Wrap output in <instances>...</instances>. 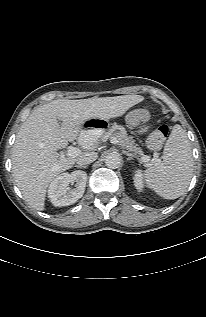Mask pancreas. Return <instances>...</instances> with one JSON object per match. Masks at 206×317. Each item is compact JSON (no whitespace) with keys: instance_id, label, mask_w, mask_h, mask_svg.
<instances>
[{"instance_id":"cf45deb5","label":"pancreas","mask_w":206,"mask_h":317,"mask_svg":"<svg viewBox=\"0 0 206 317\" xmlns=\"http://www.w3.org/2000/svg\"><path fill=\"white\" fill-rule=\"evenodd\" d=\"M109 136L115 137L118 140L119 145L123 149L127 150V152H130L132 155H134L136 157H140L143 155V151L141 150V148L138 147L134 143L135 141L132 140L131 137L127 136V133H126L124 128H115L113 133Z\"/></svg>"}]
</instances>
